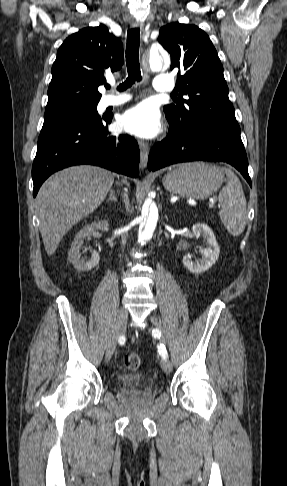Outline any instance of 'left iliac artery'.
I'll use <instances>...</instances> for the list:
<instances>
[{"label":"left iliac artery","mask_w":287,"mask_h":486,"mask_svg":"<svg viewBox=\"0 0 287 486\" xmlns=\"http://www.w3.org/2000/svg\"><path fill=\"white\" fill-rule=\"evenodd\" d=\"M159 354L165 359L167 357V350L163 344L158 346Z\"/></svg>","instance_id":"1"}]
</instances>
